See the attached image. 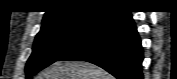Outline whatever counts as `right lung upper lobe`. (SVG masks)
Here are the masks:
<instances>
[{
	"instance_id": "right-lung-upper-lobe-1",
	"label": "right lung upper lobe",
	"mask_w": 177,
	"mask_h": 79,
	"mask_svg": "<svg viewBox=\"0 0 177 79\" xmlns=\"http://www.w3.org/2000/svg\"><path fill=\"white\" fill-rule=\"evenodd\" d=\"M56 3L54 10L46 12L43 25L94 15L103 16L119 8V6L112 5V2L103 0H64Z\"/></svg>"
}]
</instances>
